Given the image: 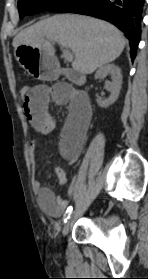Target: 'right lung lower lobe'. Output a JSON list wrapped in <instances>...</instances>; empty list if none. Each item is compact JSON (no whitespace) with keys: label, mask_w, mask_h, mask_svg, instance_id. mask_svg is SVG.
<instances>
[{"label":"right lung lower lobe","mask_w":148,"mask_h":279,"mask_svg":"<svg viewBox=\"0 0 148 279\" xmlns=\"http://www.w3.org/2000/svg\"><path fill=\"white\" fill-rule=\"evenodd\" d=\"M144 2L145 0H80L59 11L90 15L113 23L130 40L131 59L134 60L141 37Z\"/></svg>","instance_id":"obj_1"}]
</instances>
